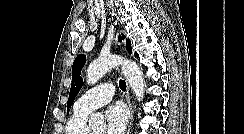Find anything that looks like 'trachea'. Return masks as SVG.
<instances>
[{"label":"trachea","mask_w":244,"mask_h":134,"mask_svg":"<svg viewBox=\"0 0 244 134\" xmlns=\"http://www.w3.org/2000/svg\"><path fill=\"white\" fill-rule=\"evenodd\" d=\"M119 87L122 91H125L126 90V82L125 80H120L119 81Z\"/></svg>","instance_id":"obj_1"}]
</instances>
